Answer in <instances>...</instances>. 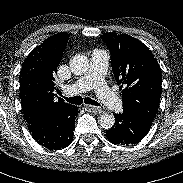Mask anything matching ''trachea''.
<instances>
[{"mask_svg": "<svg viewBox=\"0 0 183 183\" xmlns=\"http://www.w3.org/2000/svg\"><path fill=\"white\" fill-rule=\"evenodd\" d=\"M60 96H62L64 99H66L67 102H69L71 104L80 105L84 102L85 104H91V105H95V106L100 105L97 101L92 100L89 97H86L84 99L81 96H75V97H69L68 98V97L63 96L61 93H60Z\"/></svg>", "mask_w": 183, "mask_h": 183, "instance_id": "3493384b", "label": "trachea"}]
</instances>
